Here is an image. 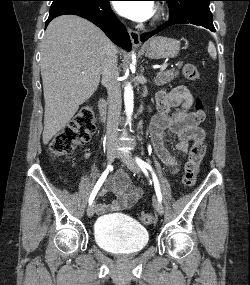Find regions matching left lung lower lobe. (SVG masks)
<instances>
[{
	"label": "left lung lower lobe",
	"mask_w": 250,
	"mask_h": 285,
	"mask_svg": "<svg viewBox=\"0 0 250 285\" xmlns=\"http://www.w3.org/2000/svg\"><path fill=\"white\" fill-rule=\"evenodd\" d=\"M175 24H194L197 26L205 27V28L211 30L212 32H215L212 17L202 15V14H194V15L186 16L182 19H174V20L169 19L165 24H163L162 26H160L156 30L142 34L140 39L142 42H144L147 39H149L151 36L159 33L160 31L164 30L165 28L172 26V25H175Z\"/></svg>",
	"instance_id": "0a47b994"
}]
</instances>
